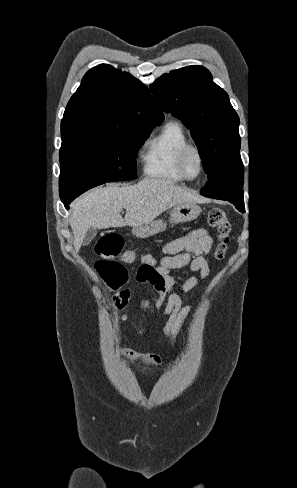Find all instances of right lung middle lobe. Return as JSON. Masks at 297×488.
Masks as SVG:
<instances>
[{"mask_svg":"<svg viewBox=\"0 0 297 488\" xmlns=\"http://www.w3.org/2000/svg\"><path fill=\"white\" fill-rule=\"evenodd\" d=\"M155 124L119 134L87 135L62 140L59 152V196L71 203L90 188L137 177L135 156Z\"/></svg>","mask_w":297,"mask_h":488,"instance_id":"obj_1","label":"right lung middle lobe"}]
</instances>
